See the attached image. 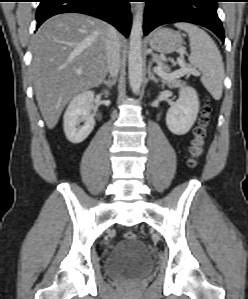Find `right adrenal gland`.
Listing matches in <instances>:
<instances>
[{
	"label": "right adrenal gland",
	"mask_w": 248,
	"mask_h": 299,
	"mask_svg": "<svg viewBox=\"0 0 248 299\" xmlns=\"http://www.w3.org/2000/svg\"><path fill=\"white\" fill-rule=\"evenodd\" d=\"M103 83L107 86V87H112L113 85H115L116 83V79H108V80H103Z\"/></svg>",
	"instance_id": "obj_1"
}]
</instances>
